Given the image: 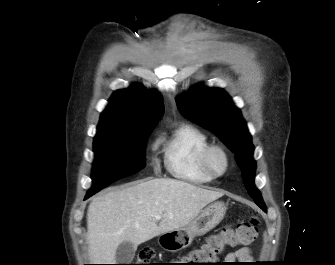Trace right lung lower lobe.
<instances>
[{"mask_svg": "<svg viewBox=\"0 0 335 265\" xmlns=\"http://www.w3.org/2000/svg\"><path fill=\"white\" fill-rule=\"evenodd\" d=\"M90 196H92V195H88V194H87L86 197H85V199L89 198Z\"/></svg>", "mask_w": 335, "mask_h": 265, "instance_id": "right-lung-lower-lobe-1", "label": "right lung lower lobe"}]
</instances>
